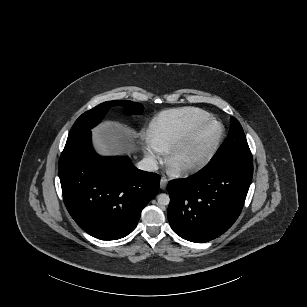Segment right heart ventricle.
Wrapping results in <instances>:
<instances>
[{
  "label": "right heart ventricle",
  "mask_w": 307,
  "mask_h": 307,
  "mask_svg": "<svg viewBox=\"0 0 307 307\" xmlns=\"http://www.w3.org/2000/svg\"><path fill=\"white\" fill-rule=\"evenodd\" d=\"M211 120L210 113L193 107L162 111L151 122L152 141L161 151H169Z\"/></svg>",
  "instance_id": "1"
}]
</instances>
